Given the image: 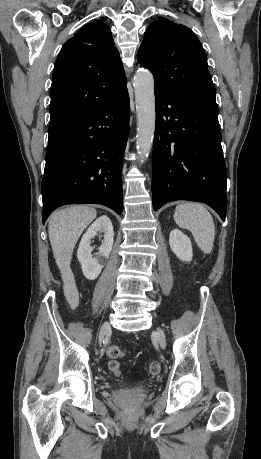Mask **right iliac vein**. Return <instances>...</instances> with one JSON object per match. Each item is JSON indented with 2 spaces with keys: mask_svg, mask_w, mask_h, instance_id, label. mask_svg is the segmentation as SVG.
<instances>
[{
  "mask_svg": "<svg viewBox=\"0 0 261 459\" xmlns=\"http://www.w3.org/2000/svg\"><path fill=\"white\" fill-rule=\"evenodd\" d=\"M110 331V324L108 322L103 323L99 333V342L101 343L105 335Z\"/></svg>",
  "mask_w": 261,
  "mask_h": 459,
  "instance_id": "obj_1",
  "label": "right iliac vein"
}]
</instances>
